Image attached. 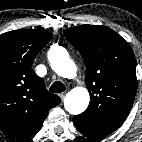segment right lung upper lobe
Returning <instances> with one entry per match:
<instances>
[{"label":"right lung upper lobe","instance_id":"1","mask_svg":"<svg viewBox=\"0 0 142 142\" xmlns=\"http://www.w3.org/2000/svg\"><path fill=\"white\" fill-rule=\"evenodd\" d=\"M51 32L20 29L0 35V129L16 140L34 136L61 99L45 88L32 62Z\"/></svg>","mask_w":142,"mask_h":142}]
</instances>
